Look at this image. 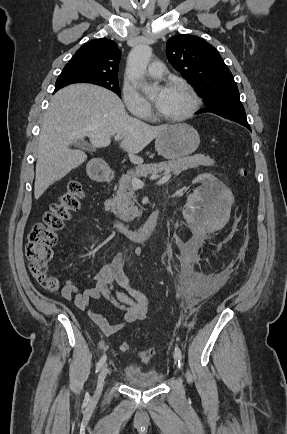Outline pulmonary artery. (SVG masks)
<instances>
[{"instance_id":"pulmonary-artery-1","label":"pulmonary artery","mask_w":287,"mask_h":434,"mask_svg":"<svg viewBox=\"0 0 287 434\" xmlns=\"http://www.w3.org/2000/svg\"><path fill=\"white\" fill-rule=\"evenodd\" d=\"M164 72L165 70L161 61H153L147 69V75L152 78H161Z\"/></svg>"}]
</instances>
